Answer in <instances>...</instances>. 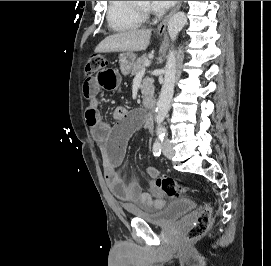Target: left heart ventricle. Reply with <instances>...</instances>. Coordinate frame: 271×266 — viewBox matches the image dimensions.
I'll use <instances>...</instances> for the list:
<instances>
[{"mask_svg":"<svg viewBox=\"0 0 271 266\" xmlns=\"http://www.w3.org/2000/svg\"><path fill=\"white\" fill-rule=\"evenodd\" d=\"M135 4L142 8H150V1H136Z\"/></svg>","mask_w":271,"mask_h":266,"instance_id":"b2bd125f","label":"left heart ventricle"}]
</instances>
